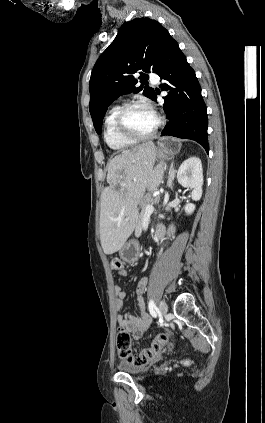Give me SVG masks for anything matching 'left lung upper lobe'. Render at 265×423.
Wrapping results in <instances>:
<instances>
[{
    "mask_svg": "<svg viewBox=\"0 0 265 423\" xmlns=\"http://www.w3.org/2000/svg\"><path fill=\"white\" fill-rule=\"evenodd\" d=\"M171 36L156 20L136 18L126 22L111 45L103 52L91 73L89 110L98 134L108 106L120 95L131 92L154 99L155 91L148 86L136 87L133 74L140 72L144 85L147 73L157 72Z\"/></svg>",
    "mask_w": 265,
    "mask_h": 423,
    "instance_id": "left-lung-upper-lobe-1",
    "label": "left lung upper lobe"
}]
</instances>
